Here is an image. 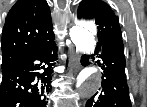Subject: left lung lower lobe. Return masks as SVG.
<instances>
[{"label": "left lung lower lobe", "instance_id": "0a47b994", "mask_svg": "<svg viewBox=\"0 0 147 107\" xmlns=\"http://www.w3.org/2000/svg\"><path fill=\"white\" fill-rule=\"evenodd\" d=\"M98 64L103 70L102 85L87 102L86 107H132L125 77V55L122 39H115L96 47ZM88 65V56L81 57Z\"/></svg>", "mask_w": 147, "mask_h": 107}]
</instances>
